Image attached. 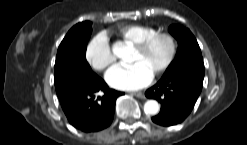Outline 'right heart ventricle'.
Returning <instances> with one entry per match:
<instances>
[{
  "label": "right heart ventricle",
  "mask_w": 247,
  "mask_h": 145,
  "mask_svg": "<svg viewBox=\"0 0 247 145\" xmlns=\"http://www.w3.org/2000/svg\"><path fill=\"white\" fill-rule=\"evenodd\" d=\"M155 32L157 29L153 26L129 24L119 27L115 31V35L124 42L136 45Z\"/></svg>",
  "instance_id": "1"
}]
</instances>
